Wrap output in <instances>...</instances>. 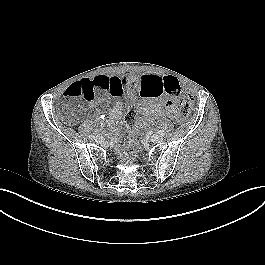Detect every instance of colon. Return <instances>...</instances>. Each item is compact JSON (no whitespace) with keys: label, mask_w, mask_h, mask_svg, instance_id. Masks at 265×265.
Wrapping results in <instances>:
<instances>
[{"label":"colon","mask_w":265,"mask_h":265,"mask_svg":"<svg viewBox=\"0 0 265 265\" xmlns=\"http://www.w3.org/2000/svg\"><path fill=\"white\" fill-rule=\"evenodd\" d=\"M99 92H107V83L105 80L90 81L84 79L70 85L66 89L65 95L68 99L84 98L91 100ZM160 94H165L176 100L180 110L184 114L190 113L193 99L189 94L183 92L180 82L176 77L170 75L163 77L160 87L152 96H158ZM139 110L140 106H133L125 116V123L132 133H134L136 127V114ZM74 121L75 119H72V122ZM128 149L131 153L137 151V146L133 139L129 141Z\"/></svg>","instance_id":"5ec220e1"}]
</instances>
